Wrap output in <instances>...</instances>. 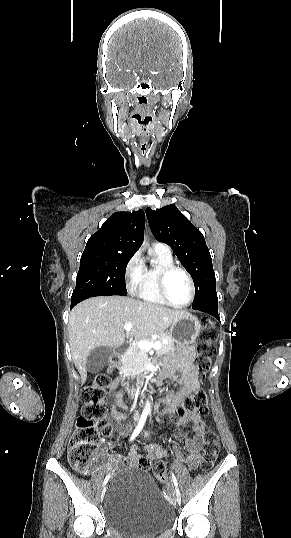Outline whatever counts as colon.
<instances>
[{"label":"colon","instance_id":"colon-1","mask_svg":"<svg viewBox=\"0 0 291 538\" xmlns=\"http://www.w3.org/2000/svg\"><path fill=\"white\" fill-rule=\"evenodd\" d=\"M200 333L201 343L196 347L194 365L201 378L205 377L211 366L214 354L212 342L216 332L207 319L202 322ZM120 360L114 355L109 360L105 372L95 374L88 382L82 394L84 406L78 417L76 430L72 437L68 459L71 466L79 473L90 472L97 463L98 445L102 436H111L113 427L107 419L108 406L106 403L107 389L111 384V375L119 368ZM208 413V399L204 391L199 390L187 396L180 407L178 414L206 415ZM219 438L215 431L208 429L204 435L202 452V469L210 470L219 453ZM138 468L144 471L153 470L159 481L167 483L165 465L163 462L152 464L147 458L141 457L137 463Z\"/></svg>","mask_w":291,"mask_h":538}]
</instances>
